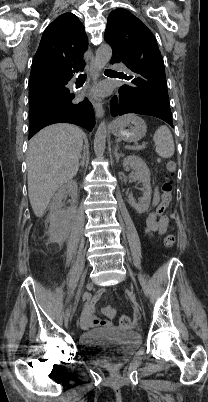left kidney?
Wrapping results in <instances>:
<instances>
[{
	"label": "left kidney",
	"mask_w": 208,
	"mask_h": 402,
	"mask_svg": "<svg viewBox=\"0 0 208 402\" xmlns=\"http://www.w3.org/2000/svg\"><path fill=\"white\" fill-rule=\"evenodd\" d=\"M123 168L124 170H135V174L132 176L133 180H138V182L143 184V188H141L143 198H139V202H135L132 196H128L129 204L135 208L138 214L148 212L152 194L150 186V170H148L145 162H143L139 156H127V158H124Z\"/></svg>",
	"instance_id": "left-kidney-1"
}]
</instances>
